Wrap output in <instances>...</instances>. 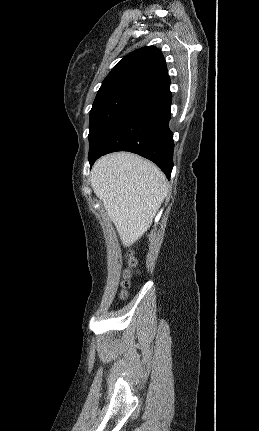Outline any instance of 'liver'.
<instances>
[{
    "instance_id": "6515ba94",
    "label": "liver",
    "mask_w": 259,
    "mask_h": 431,
    "mask_svg": "<svg viewBox=\"0 0 259 431\" xmlns=\"http://www.w3.org/2000/svg\"><path fill=\"white\" fill-rule=\"evenodd\" d=\"M166 185L165 175L154 163L132 153L106 155L92 169V189L125 247L151 226L166 196Z\"/></svg>"
}]
</instances>
